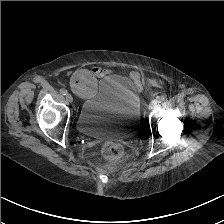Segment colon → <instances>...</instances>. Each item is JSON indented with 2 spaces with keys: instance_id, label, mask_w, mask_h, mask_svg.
<instances>
[{
  "instance_id": "5ec220e1",
  "label": "colon",
  "mask_w": 224,
  "mask_h": 224,
  "mask_svg": "<svg viewBox=\"0 0 224 224\" xmlns=\"http://www.w3.org/2000/svg\"><path fill=\"white\" fill-rule=\"evenodd\" d=\"M71 87L82 97L90 96L97 89V75L92 70L81 69L74 74ZM102 152L106 157L114 159L122 155L123 147L117 142H107L103 145Z\"/></svg>"
}]
</instances>
